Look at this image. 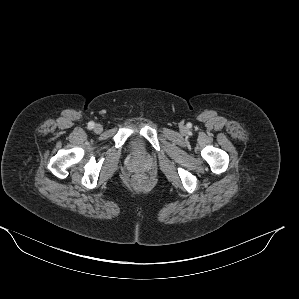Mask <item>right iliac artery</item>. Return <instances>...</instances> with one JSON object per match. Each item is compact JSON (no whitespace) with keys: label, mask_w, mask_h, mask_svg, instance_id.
Returning <instances> with one entry per match:
<instances>
[{"label":"right iliac artery","mask_w":299,"mask_h":299,"mask_svg":"<svg viewBox=\"0 0 299 299\" xmlns=\"http://www.w3.org/2000/svg\"><path fill=\"white\" fill-rule=\"evenodd\" d=\"M88 127H89L90 129H92V128L94 127V122H92V121L89 122V123H88Z\"/></svg>","instance_id":"right-iliac-artery-1"}]
</instances>
